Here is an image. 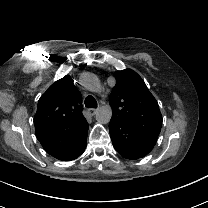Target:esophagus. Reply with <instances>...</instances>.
Returning a JSON list of instances; mask_svg holds the SVG:
<instances>
[{
	"label": "esophagus",
	"mask_w": 208,
	"mask_h": 208,
	"mask_svg": "<svg viewBox=\"0 0 208 208\" xmlns=\"http://www.w3.org/2000/svg\"><path fill=\"white\" fill-rule=\"evenodd\" d=\"M98 110L99 108H89L87 112L90 116H94L98 112Z\"/></svg>",
	"instance_id": "1"
}]
</instances>
